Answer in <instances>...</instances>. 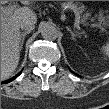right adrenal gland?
<instances>
[{"label": "right adrenal gland", "mask_w": 109, "mask_h": 109, "mask_svg": "<svg viewBox=\"0 0 109 109\" xmlns=\"http://www.w3.org/2000/svg\"><path fill=\"white\" fill-rule=\"evenodd\" d=\"M27 34H29V32H24V33L21 34L20 51L23 48L24 40H25V37H26Z\"/></svg>", "instance_id": "obj_1"}]
</instances>
